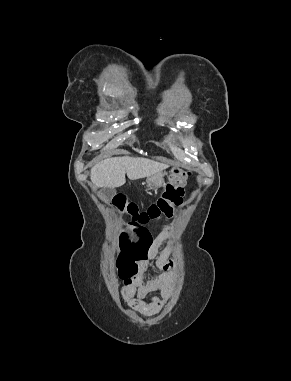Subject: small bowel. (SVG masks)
Returning <instances> with one entry per match:
<instances>
[{
    "instance_id": "c3829d8e",
    "label": "small bowel",
    "mask_w": 291,
    "mask_h": 381,
    "mask_svg": "<svg viewBox=\"0 0 291 381\" xmlns=\"http://www.w3.org/2000/svg\"><path fill=\"white\" fill-rule=\"evenodd\" d=\"M166 240L165 233H160L151 239L147 232H143L142 245L139 248L140 257L137 259L138 271L122 280L121 295L124 302L130 308L146 315L156 314L162 309L174 285L175 275L171 271L175 263L170 259L171 249L166 247L159 250ZM151 261L155 262L157 273L150 272ZM147 274L151 275L148 279ZM152 292L158 295L152 296L147 301V295Z\"/></svg>"
}]
</instances>
